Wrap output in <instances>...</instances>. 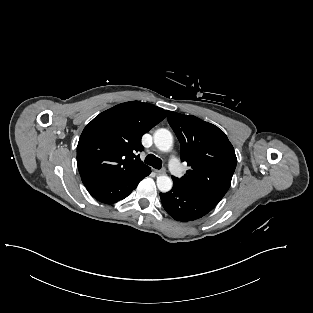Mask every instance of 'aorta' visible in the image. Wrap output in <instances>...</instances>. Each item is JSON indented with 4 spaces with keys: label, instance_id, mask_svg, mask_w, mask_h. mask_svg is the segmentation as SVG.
Returning <instances> with one entry per match:
<instances>
[{
    "label": "aorta",
    "instance_id": "1",
    "mask_svg": "<svg viewBox=\"0 0 313 313\" xmlns=\"http://www.w3.org/2000/svg\"><path fill=\"white\" fill-rule=\"evenodd\" d=\"M154 143L159 150L167 152L171 149L173 145V136L171 132L167 129H158L154 133ZM172 186L173 182L168 176L163 175L157 178V187L161 192L166 193L170 191Z\"/></svg>",
    "mask_w": 313,
    "mask_h": 313
}]
</instances>
